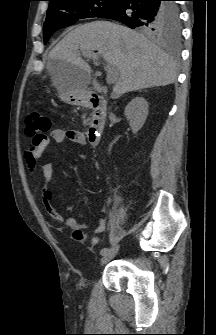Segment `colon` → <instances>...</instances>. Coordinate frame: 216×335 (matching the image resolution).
Here are the masks:
<instances>
[{
	"mask_svg": "<svg viewBox=\"0 0 216 335\" xmlns=\"http://www.w3.org/2000/svg\"><path fill=\"white\" fill-rule=\"evenodd\" d=\"M26 126V134L32 139V144H36L46 136L47 131L51 127V120L45 114L32 111L26 117ZM46 197L51 199L50 191H47ZM72 236L79 242L85 240V235L81 230H75Z\"/></svg>",
	"mask_w": 216,
	"mask_h": 335,
	"instance_id": "5ec220e1",
	"label": "colon"
}]
</instances>
